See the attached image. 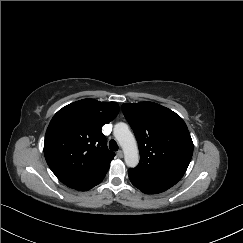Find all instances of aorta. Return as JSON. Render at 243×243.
I'll return each mask as SVG.
<instances>
[{"instance_id": "762f6f07", "label": "aorta", "mask_w": 243, "mask_h": 243, "mask_svg": "<svg viewBox=\"0 0 243 243\" xmlns=\"http://www.w3.org/2000/svg\"><path fill=\"white\" fill-rule=\"evenodd\" d=\"M114 136L123 149L125 163L128 167H136L139 163V152L136 139L125 123H117L114 126Z\"/></svg>"}]
</instances>
